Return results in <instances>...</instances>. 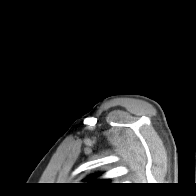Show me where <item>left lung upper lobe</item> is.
Listing matches in <instances>:
<instances>
[{
  "mask_svg": "<svg viewBox=\"0 0 196 196\" xmlns=\"http://www.w3.org/2000/svg\"><path fill=\"white\" fill-rule=\"evenodd\" d=\"M91 183H106V180H96V181H93Z\"/></svg>",
  "mask_w": 196,
  "mask_h": 196,
  "instance_id": "5c2ea615",
  "label": "left lung upper lobe"
}]
</instances>
